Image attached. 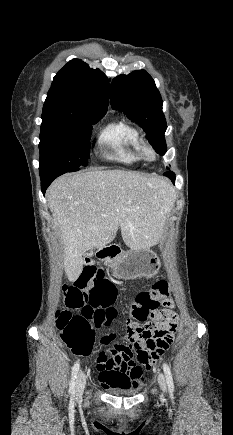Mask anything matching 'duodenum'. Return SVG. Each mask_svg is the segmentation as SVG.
I'll return each mask as SVG.
<instances>
[{
	"mask_svg": "<svg viewBox=\"0 0 233 435\" xmlns=\"http://www.w3.org/2000/svg\"><path fill=\"white\" fill-rule=\"evenodd\" d=\"M121 249L118 246L105 243L101 245L93 253L92 257L88 259V262L94 260L103 261L105 263H112L120 255Z\"/></svg>",
	"mask_w": 233,
	"mask_h": 435,
	"instance_id": "duodenum-1",
	"label": "duodenum"
}]
</instances>
